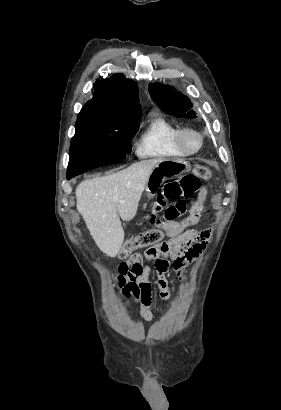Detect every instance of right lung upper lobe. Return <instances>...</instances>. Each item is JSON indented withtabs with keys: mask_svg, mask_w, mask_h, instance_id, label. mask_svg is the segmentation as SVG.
Returning <instances> with one entry per match:
<instances>
[{
	"mask_svg": "<svg viewBox=\"0 0 281 410\" xmlns=\"http://www.w3.org/2000/svg\"><path fill=\"white\" fill-rule=\"evenodd\" d=\"M94 95L81 109L105 118H133L140 116L141 105L138 103V87L134 81L122 74L111 78L97 79Z\"/></svg>",
	"mask_w": 281,
	"mask_h": 410,
	"instance_id": "right-lung-upper-lobe-1",
	"label": "right lung upper lobe"
}]
</instances>
